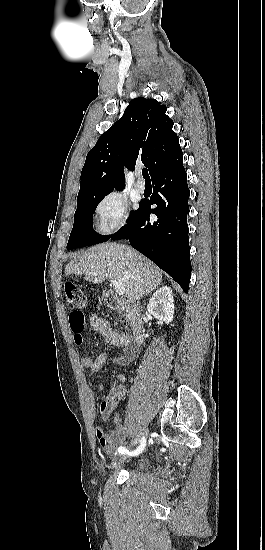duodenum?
<instances>
[{
    "label": "duodenum",
    "instance_id": "obj_1",
    "mask_svg": "<svg viewBox=\"0 0 265 550\" xmlns=\"http://www.w3.org/2000/svg\"><path fill=\"white\" fill-rule=\"evenodd\" d=\"M104 301L111 310H125L129 314L132 328V345L138 349L144 341V321L140 316L141 307L133 300H123L111 292H104Z\"/></svg>",
    "mask_w": 265,
    "mask_h": 550
}]
</instances>
